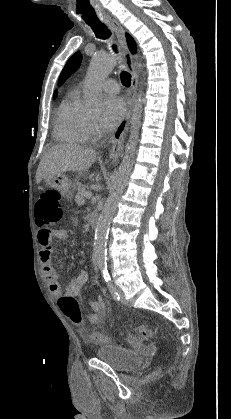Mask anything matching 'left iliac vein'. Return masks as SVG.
Returning a JSON list of instances; mask_svg holds the SVG:
<instances>
[{"instance_id":"1","label":"left iliac vein","mask_w":231,"mask_h":419,"mask_svg":"<svg viewBox=\"0 0 231 419\" xmlns=\"http://www.w3.org/2000/svg\"><path fill=\"white\" fill-rule=\"evenodd\" d=\"M118 290V292H119V296H120V301H121V303L122 304H124V305H127L128 304V301L125 299V295H124V293L122 292V290L121 289H117Z\"/></svg>"}]
</instances>
